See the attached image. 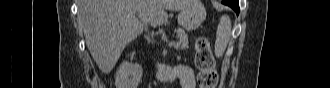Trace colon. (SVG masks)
I'll return each mask as SVG.
<instances>
[{
	"label": "colon",
	"instance_id": "1",
	"mask_svg": "<svg viewBox=\"0 0 330 88\" xmlns=\"http://www.w3.org/2000/svg\"><path fill=\"white\" fill-rule=\"evenodd\" d=\"M194 48L195 63L199 71V87L215 88L218 83V73L209 40L206 37L197 38Z\"/></svg>",
	"mask_w": 330,
	"mask_h": 88
}]
</instances>
